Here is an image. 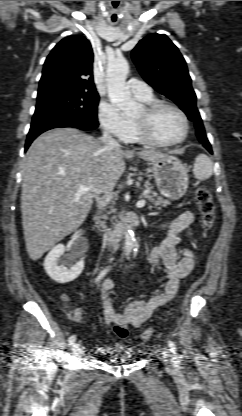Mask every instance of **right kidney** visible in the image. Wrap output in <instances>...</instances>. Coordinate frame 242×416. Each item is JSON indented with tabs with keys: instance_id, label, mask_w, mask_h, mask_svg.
<instances>
[{
	"instance_id": "obj_1",
	"label": "right kidney",
	"mask_w": 242,
	"mask_h": 416,
	"mask_svg": "<svg viewBox=\"0 0 242 416\" xmlns=\"http://www.w3.org/2000/svg\"><path fill=\"white\" fill-rule=\"evenodd\" d=\"M66 248L63 244H58L52 248L44 261V269L51 279L58 283H67L76 279L84 269V261H74L77 258L76 245L69 247V253L63 260L60 257L65 253Z\"/></svg>"
}]
</instances>
